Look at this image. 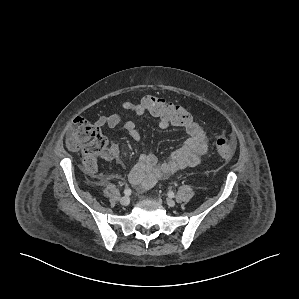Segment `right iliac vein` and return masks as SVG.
<instances>
[{"mask_svg": "<svg viewBox=\"0 0 299 299\" xmlns=\"http://www.w3.org/2000/svg\"><path fill=\"white\" fill-rule=\"evenodd\" d=\"M120 203L123 206H128L130 204V198L128 196H123L120 198Z\"/></svg>", "mask_w": 299, "mask_h": 299, "instance_id": "right-iliac-vein-1", "label": "right iliac vein"}]
</instances>
